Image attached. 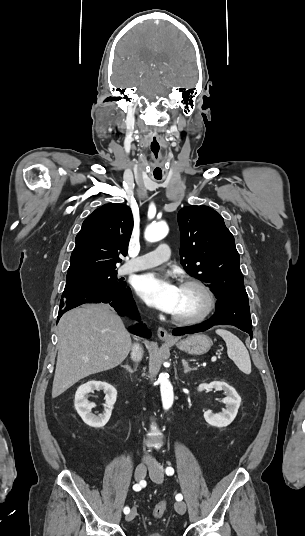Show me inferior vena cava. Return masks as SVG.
<instances>
[{
  "label": "inferior vena cava",
  "mask_w": 305,
  "mask_h": 536,
  "mask_svg": "<svg viewBox=\"0 0 305 536\" xmlns=\"http://www.w3.org/2000/svg\"><path fill=\"white\" fill-rule=\"evenodd\" d=\"M131 356L135 362H139L143 356L142 348H140L139 344H134L131 352Z\"/></svg>",
  "instance_id": "1"
}]
</instances>
